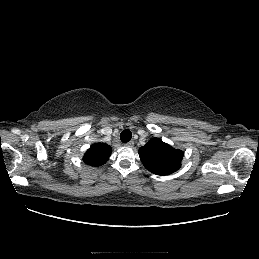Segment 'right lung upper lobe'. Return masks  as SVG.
<instances>
[{
    "label": "right lung upper lobe",
    "mask_w": 259,
    "mask_h": 259,
    "mask_svg": "<svg viewBox=\"0 0 259 259\" xmlns=\"http://www.w3.org/2000/svg\"><path fill=\"white\" fill-rule=\"evenodd\" d=\"M111 147L105 143H95L86 151L83 161L91 166H100L107 162Z\"/></svg>",
    "instance_id": "cb5924a9"
}]
</instances>
